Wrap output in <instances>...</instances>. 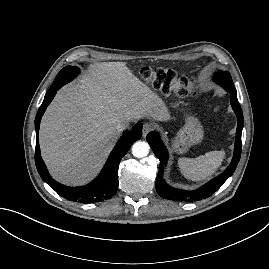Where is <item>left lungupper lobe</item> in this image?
I'll return each mask as SVG.
<instances>
[{
  "mask_svg": "<svg viewBox=\"0 0 269 269\" xmlns=\"http://www.w3.org/2000/svg\"><path fill=\"white\" fill-rule=\"evenodd\" d=\"M215 77L217 82L220 83L223 87H226L227 85H229L230 87H234L232 78L227 71L217 73Z\"/></svg>",
  "mask_w": 269,
  "mask_h": 269,
  "instance_id": "obj_1",
  "label": "left lung upper lobe"
}]
</instances>
